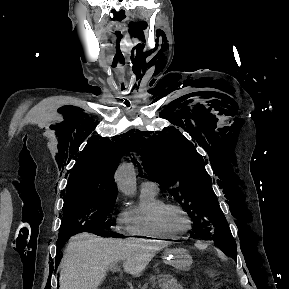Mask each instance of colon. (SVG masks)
Segmentation results:
<instances>
[{"instance_id": "5ec220e1", "label": "colon", "mask_w": 289, "mask_h": 289, "mask_svg": "<svg viewBox=\"0 0 289 289\" xmlns=\"http://www.w3.org/2000/svg\"><path fill=\"white\" fill-rule=\"evenodd\" d=\"M222 289H228L226 286H223Z\"/></svg>"}]
</instances>
